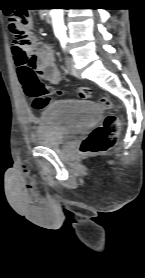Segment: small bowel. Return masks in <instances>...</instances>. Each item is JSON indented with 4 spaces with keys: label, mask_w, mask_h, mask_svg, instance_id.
Listing matches in <instances>:
<instances>
[{
    "label": "small bowel",
    "mask_w": 145,
    "mask_h": 278,
    "mask_svg": "<svg viewBox=\"0 0 145 278\" xmlns=\"http://www.w3.org/2000/svg\"><path fill=\"white\" fill-rule=\"evenodd\" d=\"M12 57L17 69V77L22 87V78L28 72H38L43 79L51 83H58L61 80V72L54 62L53 52L50 47L41 45L37 51H24L22 47L14 41L11 45ZM36 122L35 118L30 119Z\"/></svg>",
    "instance_id": "small-bowel-1"
}]
</instances>
